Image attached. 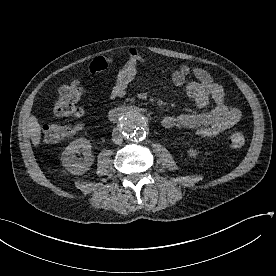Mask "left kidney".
<instances>
[{"label":"left kidney","mask_w":276,"mask_h":276,"mask_svg":"<svg viewBox=\"0 0 276 276\" xmlns=\"http://www.w3.org/2000/svg\"><path fill=\"white\" fill-rule=\"evenodd\" d=\"M188 154H189L190 157H196L197 156L196 150H193V149H190L188 151Z\"/></svg>","instance_id":"obj_1"}]
</instances>
